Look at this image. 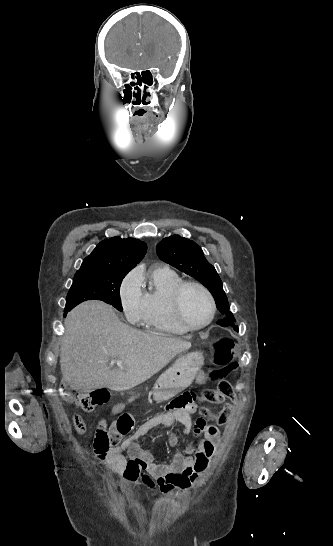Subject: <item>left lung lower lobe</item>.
Wrapping results in <instances>:
<instances>
[{
	"label": "left lung lower lobe",
	"mask_w": 333,
	"mask_h": 546,
	"mask_svg": "<svg viewBox=\"0 0 333 546\" xmlns=\"http://www.w3.org/2000/svg\"><path fill=\"white\" fill-rule=\"evenodd\" d=\"M233 321H235V319L231 320V319H224V320H221V321H218V324H220L221 326H233L234 327V330L238 332V327L237 326H234V323Z\"/></svg>",
	"instance_id": "left-lung-lower-lobe-1"
}]
</instances>
